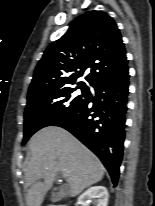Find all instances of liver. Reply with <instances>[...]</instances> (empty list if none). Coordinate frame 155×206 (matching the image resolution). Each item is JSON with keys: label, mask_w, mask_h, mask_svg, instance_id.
Instances as JSON below:
<instances>
[{"label": "liver", "mask_w": 155, "mask_h": 206, "mask_svg": "<svg viewBox=\"0 0 155 206\" xmlns=\"http://www.w3.org/2000/svg\"><path fill=\"white\" fill-rule=\"evenodd\" d=\"M29 147L31 158L25 170L27 206L42 204L58 172L67 180L63 187L65 195L71 197L104 176L100 160L63 128L49 126L39 130L30 139Z\"/></svg>", "instance_id": "obj_1"}]
</instances>
